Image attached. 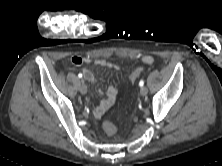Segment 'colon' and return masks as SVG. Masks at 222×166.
<instances>
[{"mask_svg": "<svg viewBox=\"0 0 222 166\" xmlns=\"http://www.w3.org/2000/svg\"><path fill=\"white\" fill-rule=\"evenodd\" d=\"M142 70H143L142 67H138L135 70H133V72L130 75V81L135 82L141 75ZM102 127L108 135H113L116 132L115 125L108 120L103 122Z\"/></svg>", "mask_w": 222, "mask_h": 166, "instance_id": "1", "label": "colon"}]
</instances>
